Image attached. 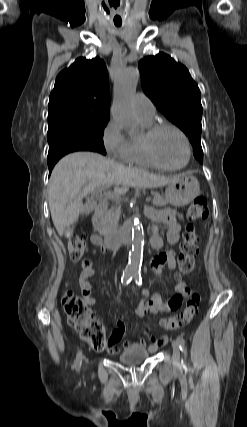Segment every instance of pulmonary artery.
Wrapping results in <instances>:
<instances>
[{"label": "pulmonary artery", "mask_w": 247, "mask_h": 427, "mask_svg": "<svg viewBox=\"0 0 247 427\" xmlns=\"http://www.w3.org/2000/svg\"><path fill=\"white\" fill-rule=\"evenodd\" d=\"M134 110L140 119L151 120L156 110L152 101L144 93L138 92L133 98Z\"/></svg>", "instance_id": "pulmonary-artery-1"}]
</instances>
